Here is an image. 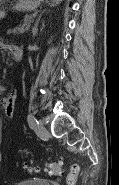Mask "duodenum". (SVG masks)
I'll use <instances>...</instances> for the list:
<instances>
[{
  "instance_id": "410a0bca",
  "label": "duodenum",
  "mask_w": 119,
  "mask_h": 185,
  "mask_svg": "<svg viewBox=\"0 0 119 185\" xmlns=\"http://www.w3.org/2000/svg\"><path fill=\"white\" fill-rule=\"evenodd\" d=\"M12 54L14 56V59L16 61H20L22 59V55H23V52L22 50L19 48V47H15L13 50H12Z\"/></svg>"
}]
</instances>
